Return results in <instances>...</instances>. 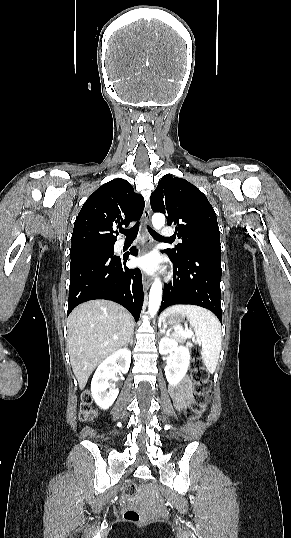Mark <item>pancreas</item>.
Returning a JSON list of instances; mask_svg holds the SVG:
<instances>
[{"mask_svg":"<svg viewBox=\"0 0 291 538\" xmlns=\"http://www.w3.org/2000/svg\"><path fill=\"white\" fill-rule=\"evenodd\" d=\"M169 336H170L173 340H175V341H177V342H179V343H184V342H186V339H187V337L182 336V335L177 334V333H176V334H171V335H169Z\"/></svg>","mask_w":291,"mask_h":538,"instance_id":"1","label":"pancreas"}]
</instances>
